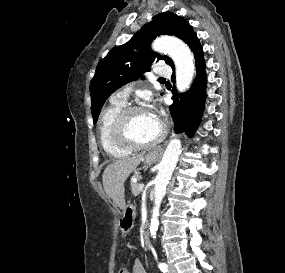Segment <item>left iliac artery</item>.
Returning <instances> with one entry per match:
<instances>
[{
  "mask_svg": "<svg viewBox=\"0 0 285 273\" xmlns=\"http://www.w3.org/2000/svg\"><path fill=\"white\" fill-rule=\"evenodd\" d=\"M158 267L164 273L168 271V265L166 263L160 262Z\"/></svg>",
  "mask_w": 285,
  "mask_h": 273,
  "instance_id": "44dca946",
  "label": "left iliac artery"
}]
</instances>
